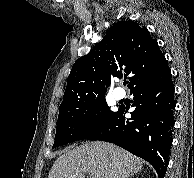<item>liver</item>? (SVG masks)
I'll use <instances>...</instances> for the list:
<instances>
[{"label":"liver","instance_id":"6515ba94","mask_svg":"<svg viewBox=\"0 0 194 178\" xmlns=\"http://www.w3.org/2000/svg\"><path fill=\"white\" fill-rule=\"evenodd\" d=\"M144 161L111 143L95 141L66 151L52 166L48 178H129L142 170Z\"/></svg>","mask_w":194,"mask_h":178}]
</instances>
